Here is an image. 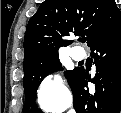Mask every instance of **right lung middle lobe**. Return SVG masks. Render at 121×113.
<instances>
[{
    "instance_id": "dd1d6c3e",
    "label": "right lung middle lobe",
    "mask_w": 121,
    "mask_h": 113,
    "mask_svg": "<svg viewBox=\"0 0 121 113\" xmlns=\"http://www.w3.org/2000/svg\"><path fill=\"white\" fill-rule=\"evenodd\" d=\"M61 63L58 55L46 57L35 64L24 69V91H25V109L26 113H35L36 105L33 104L36 98V91L39 83L49 73L57 70H61ZM73 71H67L65 73L66 78L69 80ZM32 107V110H27Z\"/></svg>"
}]
</instances>
